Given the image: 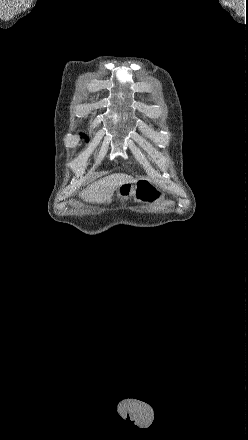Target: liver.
<instances>
[{
    "instance_id": "6515ba94",
    "label": "liver",
    "mask_w": 248,
    "mask_h": 440,
    "mask_svg": "<svg viewBox=\"0 0 248 440\" xmlns=\"http://www.w3.org/2000/svg\"><path fill=\"white\" fill-rule=\"evenodd\" d=\"M136 181L137 179L127 174H111L89 185L80 193V197L86 202L103 203L110 200L121 185L136 183Z\"/></svg>"
}]
</instances>
